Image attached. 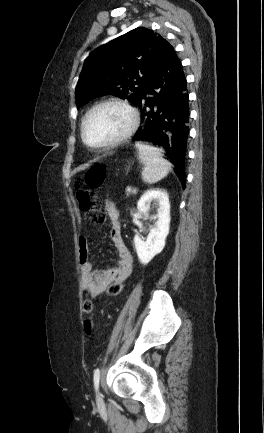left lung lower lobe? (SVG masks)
I'll return each instance as SVG.
<instances>
[{
  "mask_svg": "<svg viewBox=\"0 0 264 433\" xmlns=\"http://www.w3.org/2000/svg\"><path fill=\"white\" fill-rule=\"evenodd\" d=\"M142 126L135 141L152 142L167 152L174 172L185 186V156L189 133L187 81L173 50L163 68L141 94L137 104Z\"/></svg>",
  "mask_w": 264,
  "mask_h": 433,
  "instance_id": "1",
  "label": "left lung lower lobe"
}]
</instances>
